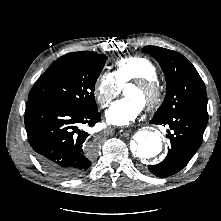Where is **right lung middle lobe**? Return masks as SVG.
Segmentation results:
<instances>
[{
	"label": "right lung middle lobe",
	"instance_id": "right-lung-middle-lobe-1",
	"mask_svg": "<svg viewBox=\"0 0 221 221\" xmlns=\"http://www.w3.org/2000/svg\"><path fill=\"white\" fill-rule=\"evenodd\" d=\"M106 62L104 54L91 51L68 53L39 77L28 100L43 99L88 113L98 111L94 87Z\"/></svg>",
	"mask_w": 221,
	"mask_h": 221
}]
</instances>
